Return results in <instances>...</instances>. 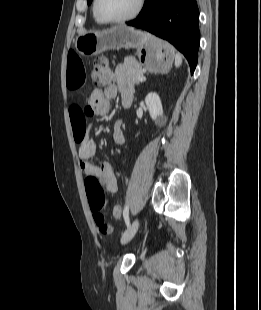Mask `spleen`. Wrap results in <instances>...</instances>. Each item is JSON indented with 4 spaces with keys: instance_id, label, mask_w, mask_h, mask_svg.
<instances>
[{
    "instance_id": "3e777b00",
    "label": "spleen",
    "mask_w": 261,
    "mask_h": 310,
    "mask_svg": "<svg viewBox=\"0 0 261 310\" xmlns=\"http://www.w3.org/2000/svg\"><path fill=\"white\" fill-rule=\"evenodd\" d=\"M174 58H175V66L180 67V65L182 64V56L179 53H176Z\"/></svg>"
}]
</instances>
